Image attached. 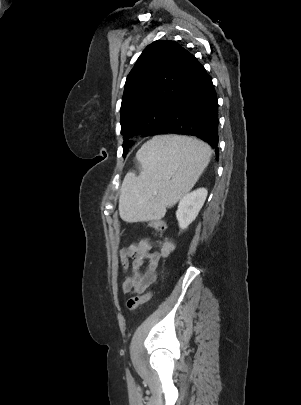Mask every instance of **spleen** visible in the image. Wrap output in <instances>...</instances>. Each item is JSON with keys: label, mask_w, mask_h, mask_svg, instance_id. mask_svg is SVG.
Returning a JSON list of instances; mask_svg holds the SVG:
<instances>
[{"label": "spleen", "mask_w": 301, "mask_h": 405, "mask_svg": "<svg viewBox=\"0 0 301 405\" xmlns=\"http://www.w3.org/2000/svg\"><path fill=\"white\" fill-rule=\"evenodd\" d=\"M210 147L195 138L155 136L136 154L142 170L121 187L120 217L127 222L161 219L197 182L210 162Z\"/></svg>", "instance_id": "3e777b00"}]
</instances>
